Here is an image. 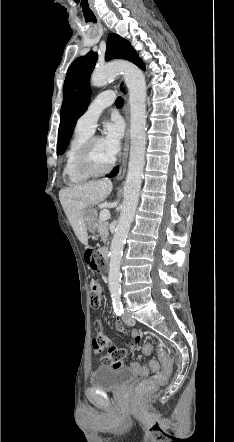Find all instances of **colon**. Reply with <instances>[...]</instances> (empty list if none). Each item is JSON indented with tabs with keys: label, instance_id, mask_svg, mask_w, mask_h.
Wrapping results in <instances>:
<instances>
[{
	"label": "colon",
	"instance_id": "1",
	"mask_svg": "<svg viewBox=\"0 0 234 442\" xmlns=\"http://www.w3.org/2000/svg\"><path fill=\"white\" fill-rule=\"evenodd\" d=\"M85 261L93 270L97 272H104L106 270L107 264L104 262L102 257L91 248L85 251ZM91 291V306L94 309H99L103 303V296L102 292L98 288L96 281L91 282ZM142 350L144 355L149 356L153 352L154 347L151 342L146 341L143 344ZM158 353L162 362L163 369L160 373H157L153 377H150V379L148 380H139L137 388L139 393H146L152 389H163L166 384V379L170 375L172 370V361L169 355L162 348H158ZM124 355L125 351L119 350L113 356L112 365L115 367H123ZM129 366L132 372L139 373L144 376L148 375L151 372H157L159 370V363L156 360H150L148 364L145 365L144 361L134 359L129 363ZM171 389H173V387H171Z\"/></svg>",
	"mask_w": 234,
	"mask_h": 442
}]
</instances>
